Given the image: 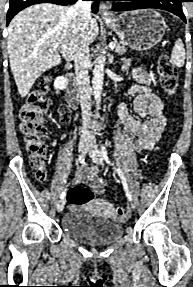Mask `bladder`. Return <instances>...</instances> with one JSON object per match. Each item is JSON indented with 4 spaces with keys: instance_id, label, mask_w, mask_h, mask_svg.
<instances>
[{
    "instance_id": "obj_1",
    "label": "bladder",
    "mask_w": 193,
    "mask_h": 287,
    "mask_svg": "<svg viewBox=\"0 0 193 287\" xmlns=\"http://www.w3.org/2000/svg\"><path fill=\"white\" fill-rule=\"evenodd\" d=\"M61 229L73 239L90 246L110 244L123 235L116 222L83 210H72L62 218Z\"/></svg>"
}]
</instances>
